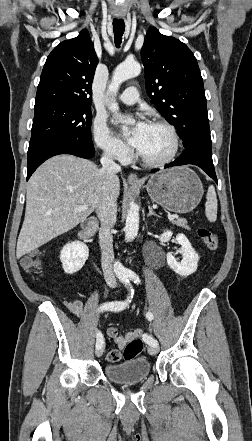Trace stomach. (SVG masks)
I'll list each match as a JSON object with an SVG mask.
<instances>
[{
    "label": "stomach",
    "mask_w": 252,
    "mask_h": 441,
    "mask_svg": "<svg viewBox=\"0 0 252 441\" xmlns=\"http://www.w3.org/2000/svg\"><path fill=\"white\" fill-rule=\"evenodd\" d=\"M146 189L153 202L176 213L193 210L204 193L201 180L186 166L173 167L152 175Z\"/></svg>",
    "instance_id": "0dacf381"
}]
</instances>
